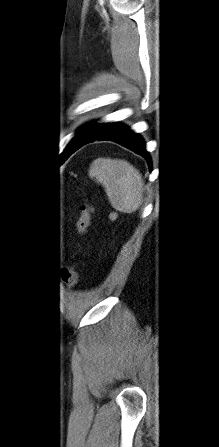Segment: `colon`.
<instances>
[{
  "instance_id": "obj_1",
  "label": "colon",
  "mask_w": 219,
  "mask_h": 447,
  "mask_svg": "<svg viewBox=\"0 0 219 447\" xmlns=\"http://www.w3.org/2000/svg\"><path fill=\"white\" fill-rule=\"evenodd\" d=\"M93 211V206L90 203H82L80 214L76 221V231L79 235H85L87 233ZM61 278L66 286L74 288L78 280V263L74 262L65 266L61 271Z\"/></svg>"
}]
</instances>
